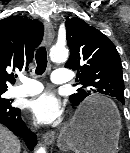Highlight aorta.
<instances>
[{
  "instance_id": "obj_1",
  "label": "aorta",
  "mask_w": 130,
  "mask_h": 153,
  "mask_svg": "<svg viewBox=\"0 0 130 153\" xmlns=\"http://www.w3.org/2000/svg\"><path fill=\"white\" fill-rule=\"evenodd\" d=\"M50 58L53 62H65L68 59V50L65 47L54 46L50 51ZM37 153H46V149L41 146Z\"/></svg>"
}]
</instances>
